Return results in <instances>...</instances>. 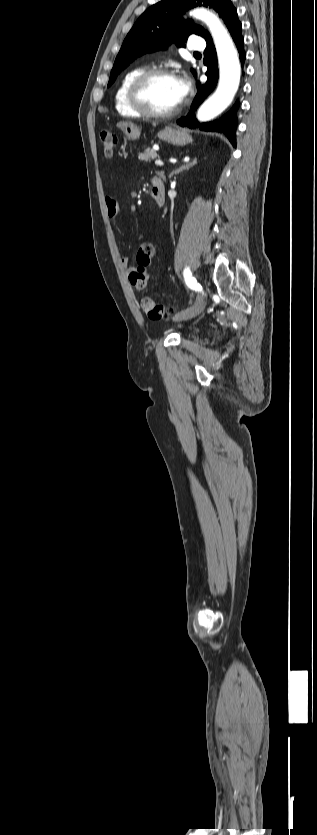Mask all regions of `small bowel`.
I'll return each mask as SVG.
<instances>
[{"instance_id":"small-bowel-1","label":"small bowel","mask_w":317,"mask_h":835,"mask_svg":"<svg viewBox=\"0 0 317 835\" xmlns=\"http://www.w3.org/2000/svg\"><path fill=\"white\" fill-rule=\"evenodd\" d=\"M105 204L108 216L113 219L116 218L119 215L120 211L118 202L113 197L107 196ZM151 249H154L152 244H141L136 256L137 262L139 263L141 260H148ZM120 263L124 268L128 269L130 272L134 270L130 267V260L127 256H122L120 258Z\"/></svg>"}]
</instances>
